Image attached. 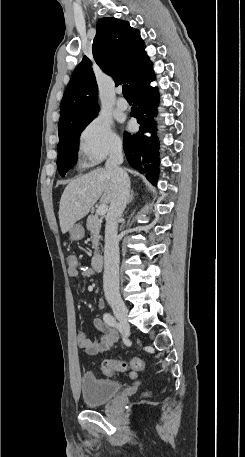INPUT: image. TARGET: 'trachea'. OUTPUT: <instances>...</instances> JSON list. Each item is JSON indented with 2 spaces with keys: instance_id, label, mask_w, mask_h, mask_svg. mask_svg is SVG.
I'll return each mask as SVG.
<instances>
[{
  "instance_id": "trachea-1",
  "label": "trachea",
  "mask_w": 245,
  "mask_h": 457,
  "mask_svg": "<svg viewBox=\"0 0 245 457\" xmlns=\"http://www.w3.org/2000/svg\"><path fill=\"white\" fill-rule=\"evenodd\" d=\"M123 95H124V97H130L131 98V94H130V91H129V86L126 83L123 85Z\"/></svg>"
}]
</instances>
